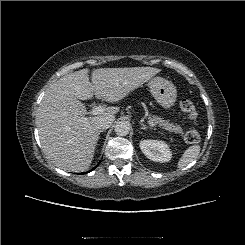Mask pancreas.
I'll return each instance as SVG.
<instances>
[{"label": "pancreas", "instance_id": "1", "mask_svg": "<svg viewBox=\"0 0 245 245\" xmlns=\"http://www.w3.org/2000/svg\"><path fill=\"white\" fill-rule=\"evenodd\" d=\"M149 119L155 124L162 126L165 130L169 132L183 135V129L180 127V125L170 123L168 120H163L162 118L157 116H149Z\"/></svg>", "mask_w": 245, "mask_h": 245}]
</instances>
